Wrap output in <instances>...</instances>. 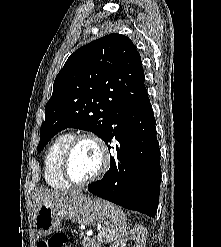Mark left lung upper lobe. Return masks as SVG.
<instances>
[{
    "instance_id": "left-lung-upper-lobe-1",
    "label": "left lung upper lobe",
    "mask_w": 221,
    "mask_h": 247,
    "mask_svg": "<svg viewBox=\"0 0 221 247\" xmlns=\"http://www.w3.org/2000/svg\"><path fill=\"white\" fill-rule=\"evenodd\" d=\"M144 80L140 54L126 36L109 34L79 48L55 78L37 150L66 128L105 140L119 111L149 100Z\"/></svg>"
}]
</instances>
